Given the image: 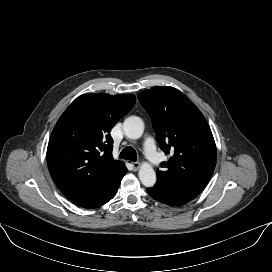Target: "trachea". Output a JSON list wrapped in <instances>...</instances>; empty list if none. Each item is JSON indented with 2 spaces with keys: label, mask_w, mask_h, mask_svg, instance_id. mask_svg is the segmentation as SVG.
<instances>
[{
  "label": "trachea",
  "mask_w": 272,
  "mask_h": 272,
  "mask_svg": "<svg viewBox=\"0 0 272 272\" xmlns=\"http://www.w3.org/2000/svg\"><path fill=\"white\" fill-rule=\"evenodd\" d=\"M119 157L121 159L135 162L137 160V153L134 148L126 147L120 152Z\"/></svg>",
  "instance_id": "3493384b"
}]
</instances>
